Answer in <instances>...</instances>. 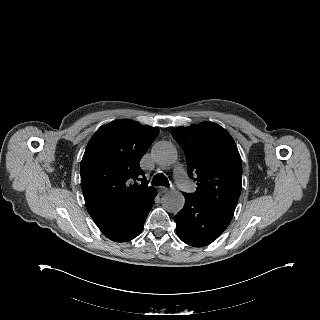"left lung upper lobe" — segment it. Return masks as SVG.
I'll use <instances>...</instances> for the list:
<instances>
[{"mask_svg":"<svg viewBox=\"0 0 320 320\" xmlns=\"http://www.w3.org/2000/svg\"><path fill=\"white\" fill-rule=\"evenodd\" d=\"M171 133L185 152L189 177L197 181L190 195L233 216L242 188V163L231 135L213 122Z\"/></svg>","mask_w":320,"mask_h":320,"instance_id":"1","label":"left lung upper lobe"}]
</instances>
